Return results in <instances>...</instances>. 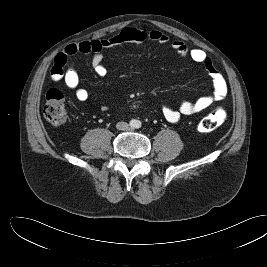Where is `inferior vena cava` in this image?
Masks as SVG:
<instances>
[{"mask_svg": "<svg viewBox=\"0 0 267 267\" xmlns=\"http://www.w3.org/2000/svg\"><path fill=\"white\" fill-rule=\"evenodd\" d=\"M116 127L119 130H128L129 129V125L126 122H118Z\"/></svg>", "mask_w": 267, "mask_h": 267, "instance_id": "1", "label": "inferior vena cava"}]
</instances>
